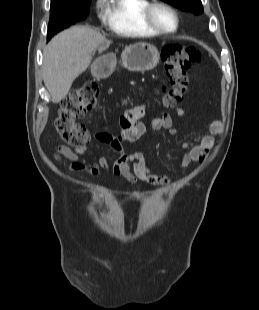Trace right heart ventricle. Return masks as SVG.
I'll return each mask as SVG.
<instances>
[{"instance_id": "obj_1", "label": "right heart ventricle", "mask_w": 259, "mask_h": 310, "mask_svg": "<svg viewBox=\"0 0 259 310\" xmlns=\"http://www.w3.org/2000/svg\"><path fill=\"white\" fill-rule=\"evenodd\" d=\"M150 0H109L106 26L116 34L146 38L160 34L151 30L143 21V11Z\"/></svg>"}]
</instances>
